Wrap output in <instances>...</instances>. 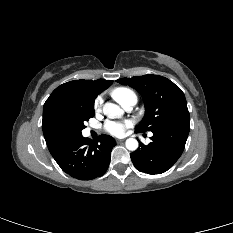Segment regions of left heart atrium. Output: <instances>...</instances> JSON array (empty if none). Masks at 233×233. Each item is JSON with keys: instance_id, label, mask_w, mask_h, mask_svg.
I'll use <instances>...</instances> for the list:
<instances>
[{"instance_id": "obj_1", "label": "left heart atrium", "mask_w": 233, "mask_h": 233, "mask_svg": "<svg viewBox=\"0 0 233 233\" xmlns=\"http://www.w3.org/2000/svg\"><path fill=\"white\" fill-rule=\"evenodd\" d=\"M131 126L129 121L116 122V121H108L105 124V130L114 136H122L126 129Z\"/></svg>"}]
</instances>
